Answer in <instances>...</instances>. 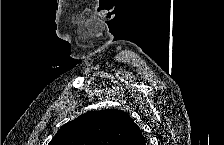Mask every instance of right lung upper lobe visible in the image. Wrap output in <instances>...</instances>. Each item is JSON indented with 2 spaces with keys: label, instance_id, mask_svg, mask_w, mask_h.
<instances>
[{
  "label": "right lung upper lobe",
  "instance_id": "obj_1",
  "mask_svg": "<svg viewBox=\"0 0 224 145\" xmlns=\"http://www.w3.org/2000/svg\"><path fill=\"white\" fill-rule=\"evenodd\" d=\"M49 145H145L131 117L122 110L88 112L63 125Z\"/></svg>",
  "mask_w": 224,
  "mask_h": 145
}]
</instances>
